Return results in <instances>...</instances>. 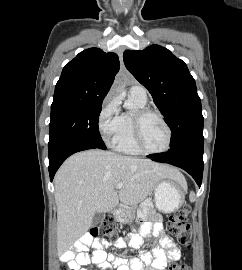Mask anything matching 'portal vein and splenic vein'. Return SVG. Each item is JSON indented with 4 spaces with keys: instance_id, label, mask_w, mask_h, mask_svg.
I'll use <instances>...</instances> for the list:
<instances>
[{
    "instance_id": "1",
    "label": "portal vein and splenic vein",
    "mask_w": 242,
    "mask_h": 270,
    "mask_svg": "<svg viewBox=\"0 0 242 270\" xmlns=\"http://www.w3.org/2000/svg\"><path fill=\"white\" fill-rule=\"evenodd\" d=\"M123 187V183H118L117 185H116V189H121Z\"/></svg>"
}]
</instances>
